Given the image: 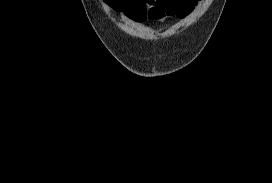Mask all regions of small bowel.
Masks as SVG:
<instances>
[{
    "label": "small bowel",
    "mask_w": 272,
    "mask_h": 183,
    "mask_svg": "<svg viewBox=\"0 0 272 183\" xmlns=\"http://www.w3.org/2000/svg\"><path fill=\"white\" fill-rule=\"evenodd\" d=\"M199 0H106L115 11L143 23L161 20L167 16L184 18L191 13Z\"/></svg>",
    "instance_id": "obj_1"
}]
</instances>
